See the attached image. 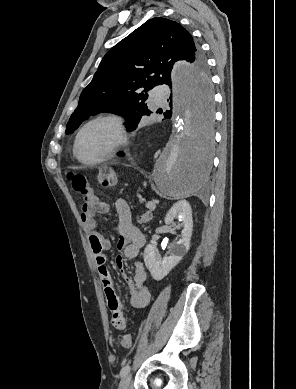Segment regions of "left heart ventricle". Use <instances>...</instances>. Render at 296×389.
I'll list each match as a JSON object with an SVG mask.
<instances>
[{
	"instance_id": "1",
	"label": "left heart ventricle",
	"mask_w": 296,
	"mask_h": 389,
	"mask_svg": "<svg viewBox=\"0 0 296 389\" xmlns=\"http://www.w3.org/2000/svg\"><path fill=\"white\" fill-rule=\"evenodd\" d=\"M115 139V130L107 122H99L88 127L82 134L78 154L85 160H94L111 145Z\"/></svg>"
}]
</instances>
